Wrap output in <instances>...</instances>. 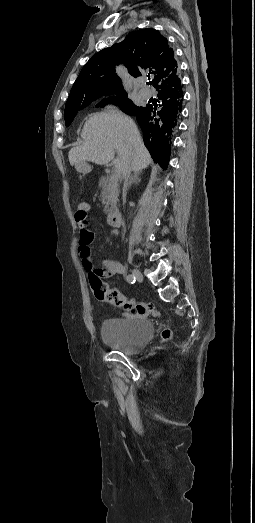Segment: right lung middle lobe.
Listing matches in <instances>:
<instances>
[{"instance_id": "obj_1", "label": "right lung middle lobe", "mask_w": 255, "mask_h": 523, "mask_svg": "<svg viewBox=\"0 0 255 523\" xmlns=\"http://www.w3.org/2000/svg\"><path fill=\"white\" fill-rule=\"evenodd\" d=\"M127 97V94H123L120 96H112L108 97L107 99H103L99 104L96 105V107L103 106L107 103H113L116 105L124 107V104L129 101ZM90 102H84V103H70L66 104L65 111H64V119L66 126H69L71 122L73 121V118L76 116L77 112L89 105Z\"/></svg>"}]
</instances>
